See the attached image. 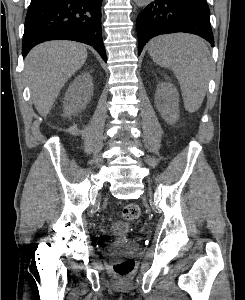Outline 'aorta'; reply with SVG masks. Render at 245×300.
Instances as JSON below:
<instances>
[{"label":"aorta","mask_w":245,"mask_h":300,"mask_svg":"<svg viewBox=\"0 0 245 300\" xmlns=\"http://www.w3.org/2000/svg\"><path fill=\"white\" fill-rule=\"evenodd\" d=\"M152 0H134L135 4L138 7H144L146 5H148Z\"/></svg>","instance_id":"1"}]
</instances>
